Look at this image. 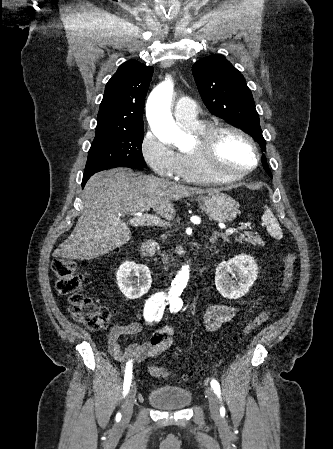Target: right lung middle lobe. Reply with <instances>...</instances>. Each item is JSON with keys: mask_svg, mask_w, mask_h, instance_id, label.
I'll use <instances>...</instances> for the list:
<instances>
[{"mask_svg": "<svg viewBox=\"0 0 333 449\" xmlns=\"http://www.w3.org/2000/svg\"><path fill=\"white\" fill-rule=\"evenodd\" d=\"M143 127L136 131H99L88 152L85 173L114 167H146L142 155Z\"/></svg>", "mask_w": 333, "mask_h": 449, "instance_id": "obj_1", "label": "right lung middle lobe"}]
</instances>
